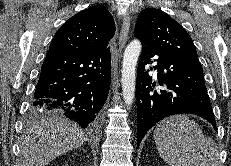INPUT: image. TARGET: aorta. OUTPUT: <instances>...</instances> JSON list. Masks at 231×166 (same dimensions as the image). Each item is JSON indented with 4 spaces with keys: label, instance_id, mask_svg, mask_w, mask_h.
<instances>
[{
    "label": "aorta",
    "instance_id": "aorta-1",
    "mask_svg": "<svg viewBox=\"0 0 231 166\" xmlns=\"http://www.w3.org/2000/svg\"><path fill=\"white\" fill-rule=\"evenodd\" d=\"M141 42L137 39L131 41L124 52L122 63V91L126 105L131 106L135 96L136 65L141 52Z\"/></svg>",
    "mask_w": 231,
    "mask_h": 166
}]
</instances>
